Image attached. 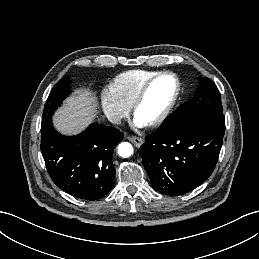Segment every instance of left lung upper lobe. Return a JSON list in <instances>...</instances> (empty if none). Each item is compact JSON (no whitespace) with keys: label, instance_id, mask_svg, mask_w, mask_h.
<instances>
[{"label":"left lung upper lobe","instance_id":"1","mask_svg":"<svg viewBox=\"0 0 259 259\" xmlns=\"http://www.w3.org/2000/svg\"><path fill=\"white\" fill-rule=\"evenodd\" d=\"M199 87L194 96L169 116L159 130H165L187 117L200 112L223 113L221 96L217 86L207 77H199Z\"/></svg>","mask_w":259,"mask_h":259}]
</instances>
